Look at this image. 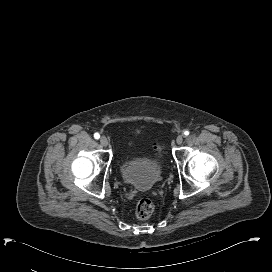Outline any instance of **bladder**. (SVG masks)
Segmentation results:
<instances>
[{
	"label": "bladder",
	"instance_id": "31cf9c89",
	"mask_svg": "<svg viewBox=\"0 0 272 272\" xmlns=\"http://www.w3.org/2000/svg\"><path fill=\"white\" fill-rule=\"evenodd\" d=\"M123 180L133 187L149 190L159 182L162 176L161 164L149 158H137L119 165Z\"/></svg>",
	"mask_w": 272,
	"mask_h": 272
}]
</instances>
